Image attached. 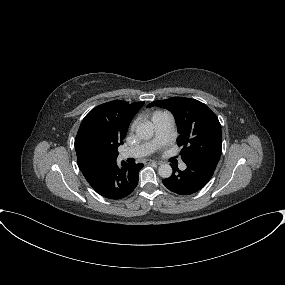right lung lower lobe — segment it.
Wrapping results in <instances>:
<instances>
[{
  "mask_svg": "<svg viewBox=\"0 0 285 285\" xmlns=\"http://www.w3.org/2000/svg\"><path fill=\"white\" fill-rule=\"evenodd\" d=\"M142 167V163H122L121 168L114 164L86 180L101 196L117 200L128 196L135 189Z\"/></svg>",
  "mask_w": 285,
  "mask_h": 285,
  "instance_id": "obj_1",
  "label": "right lung lower lobe"
}]
</instances>
